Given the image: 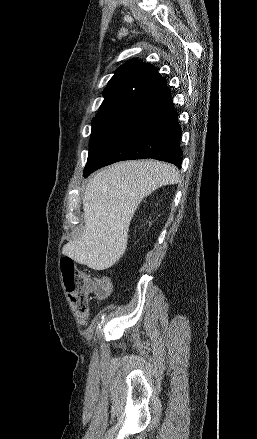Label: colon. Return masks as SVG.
Segmentation results:
<instances>
[{
    "mask_svg": "<svg viewBox=\"0 0 257 439\" xmlns=\"http://www.w3.org/2000/svg\"><path fill=\"white\" fill-rule=\"evenodd\" d=\"M61 271L72 308L82 318L89 315L90 298H104L111 292L112 285L108 277L92 278L79 271L70 259L61 260Z\"/></svg>",
    "mask_w": 257,
    "mask_h": 439,
    "instance_id": "colon-1",
    "label": "colon"
}]
</instances>
